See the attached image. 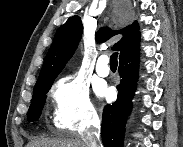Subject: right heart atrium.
Instances as JSON below:
<instances>
[{
    "instance_id": "1",
    "label": "right heart atrium",
    "mask_w": 183,
    "mask_h": 147,
    "mask_svg": "<svg viewBox=\"0 0 183 147\" xmlns=\"http://www.w3.org/2000/svg\"><path fill=\"white\" fill-rule=\"evenodd\" d=\"M53 122L59 129L81 132L98 121L88 85L76 75L60 78L51 88Z\"/></svg>"
}]
</instances>
